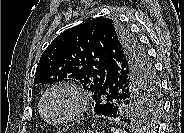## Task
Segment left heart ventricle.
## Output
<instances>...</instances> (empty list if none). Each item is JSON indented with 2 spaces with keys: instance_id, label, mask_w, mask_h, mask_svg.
<instances>
[{
  "instance_id": "b2bd125f",
  "label": "left heart ventricle",
  "mask_w": 184,
  "mask_h": 133,
  "mask_svg": "<svg viewBox=\"0 0 184 133\" xmlns=\"http://www.w3.org/2000/svg\"><path fill=\"white\" fill-rule=\"evenodd\" d=\"M74 106L73 96L64 90L53 92L46 101L47 114L53 119H60L69 115Z\"/></svg>"
}]
</instances>
